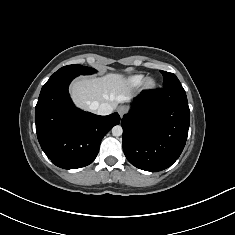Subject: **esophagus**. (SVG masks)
<instances>
[{"label":"esophagus","mask_w":235,"mask_h":235,"mask_svg":"<svg viewBox=\"0 0 235 235\" xmlns=\"http://www.w3.org/2000/svg\"><path fill=\"white\" fill-rule=\"evenodd\" d=\"M117 111L119 115L122 117L124 114L127 113L128 108L126 106H120Z\"/></svg>","instance_id":"obj_1"}]
</instances>
